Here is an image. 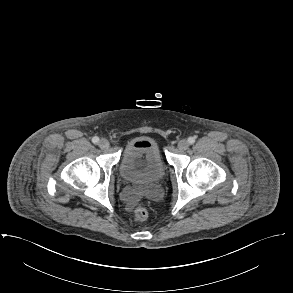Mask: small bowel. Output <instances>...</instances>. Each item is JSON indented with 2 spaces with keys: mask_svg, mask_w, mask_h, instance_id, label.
<instances>
[{
  "mask_svg": "<svg viewBox=\"0 0 293 293\" xmlns=\"http://www.w3.org/2000/svg\"><path fill=\"white\" fill-rule=\"evenodd\" d=\"M140 141H143L141 139H136L134 141L135 142H140ZM123 198L125 199V201L129 204V205H132L133 202L136 200V197H135V193L130 191V190H125L122 194Z\"/></svg>",
  "mask_w": 293,
  "mask_h": 293,
  "instance_id": "c3829d8e",
  "label": "small bowel"
}]
</instances>
